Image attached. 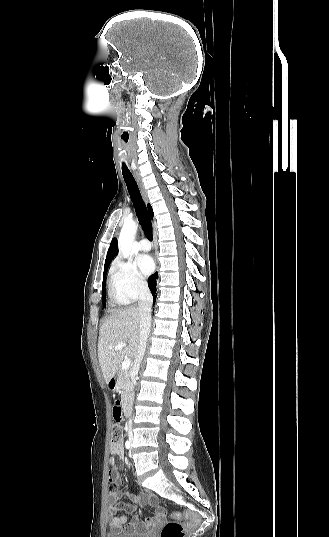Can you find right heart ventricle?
<instances>
[{"label":"right heart ventricle","instance_id":"obj_1","mask_svg":"<svg viewBox=\"0 0 329 537\" xmlns=\"http://www.w3.org/2000/svg\"><path fill=\"white\" fill-rule=\"evenodd\" d=\"M109 296L111 299V302L115 305L124 304L125 301L122 300L118 294L115 292L114 288L112 287L111 283H109Z\"/></svg>","mask_w":329,"mask_h":537}]
</instances>
